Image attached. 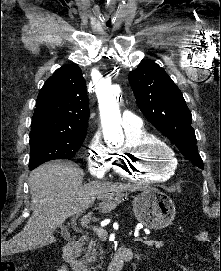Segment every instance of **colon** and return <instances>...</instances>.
<instances>
[{"label":"colon","instance_id":"1","mask_svg":"<svg viewBox=\"0 0 221 271\" xmlns=\"http://www.w3.org/2000/svg\"><path fill=\"white\" fill-rule=\"evenodd\" d=\"M0 271H19V268L13 261H3L0 262Z\"/></svg>","mask_w":221,"mask_h":271}]
</instances>
